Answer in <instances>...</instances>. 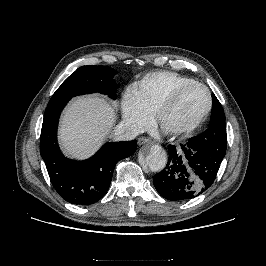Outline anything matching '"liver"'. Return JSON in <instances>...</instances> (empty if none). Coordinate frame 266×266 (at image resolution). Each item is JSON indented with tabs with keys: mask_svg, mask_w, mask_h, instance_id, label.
Returning <instances> with one entry per match:
<instances>
[{
	"mask_svg": "<svg viewBox=\"0 0 266 266\" xmlns=\"http://www.w3.org/2000/svg\"><path fill=\"white\" fill-rule=\"evenodd\" d=\"M116 120L115 107L98 95L75 98L65 109L59 127L64 152L78 159L93 155Z\"/></svg>",
	"mask_w": 266,
	"mask_h": 266,
	"instance_id": "1",
	"label": "liver"
}]
</instances>
